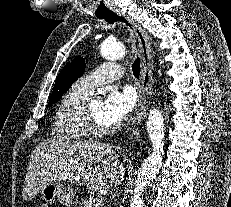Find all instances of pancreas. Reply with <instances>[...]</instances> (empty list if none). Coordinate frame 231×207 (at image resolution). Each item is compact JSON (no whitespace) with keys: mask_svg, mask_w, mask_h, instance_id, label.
I'll return each mask as SVG.
<instances>
[{"mask_svg":"<svg viewBox=\"0 0 231 207\" xmlns=\"http://www.w3.org/2000/svg\"><path fill=\"white\" fill-rule=\"evenodd\" d=\"M103 198L98 194L90 196L79 203V207H101Z\"/></svg>","mask_w":231,"mask_h":207,"instance_id":"pancreas-1","label":"pancreas"}]
</instances>
